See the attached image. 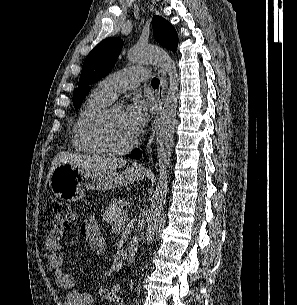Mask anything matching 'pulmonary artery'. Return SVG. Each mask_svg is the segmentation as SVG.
<instances>
[{"mask_svg":"<svg viewBox=\"0 0 297 305\" xmlns=\"http://www.w3.org/2000/svg\"><path fill=\"white\" fill-rule=\"evenodd\" d=\"M148 78L149 72L146 69L125 68L105 77L97 87L113 101L122 92L136 88Z\"/></svg>","mask_w":297,"mask_h":305,"instance_id":"obj_1","label":"pulmonary artery"}]
</instances>
